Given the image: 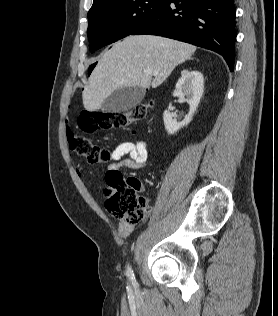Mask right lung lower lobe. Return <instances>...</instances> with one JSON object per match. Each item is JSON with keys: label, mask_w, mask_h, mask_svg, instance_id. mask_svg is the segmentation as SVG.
<instances>
[{"label": "right lung lower lobe", "mask_w": 278, "mask_h": 316, "mask_svg": "<svg viewBox=\"0 0 278 316\" xmlns=\"http://www.w3.org/2000/svg\"><path fill=\"white\" fill-rule=\"evenodd\" d=\"M235 14L233 0H165L131 35H158L213 50L232 71Z\"/></svg>", "instance_id": "98d812e1"}]
</instances>
